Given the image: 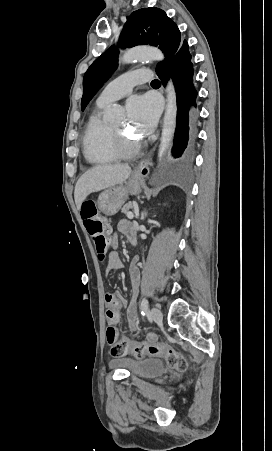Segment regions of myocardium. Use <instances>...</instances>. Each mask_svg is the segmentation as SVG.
<instances>
[{"label": "myocardium", "mask_w": 272, "mask_h": 451, "mask_svg": "<svg viewBox=\"0 0 272 451\" xmlns=\"http://www.w3.org/2000/svg\"><path fill=\"white\" fill-rule=\"evenodd\" d=\"M108 135L115 152L122 155H129L134 151L135 143L131 142L121 132H117L113 127H110Z\"/></svg>", "instance_id": "1"}]
</instances>
